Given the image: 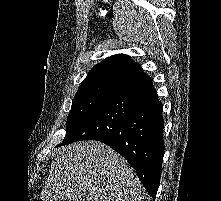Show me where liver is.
Returning a JSON list of instances; mask_svg holds the SVG:
<instances>
[{"instance_id": "1", "label": "liver", "mask_w": 221, "mask_h": 201, "mask_svg": "<svg viewBox=\"0 0 221 201\" xmlns=\"http://www.w3.org/2000/svg\"><path fill=\"white\" fill-rule=\"evenodd\" d=\"M43 201H141L140 182L128 162L99 141L59 151L42 192Z\"/></svg>"}]
</instances>
